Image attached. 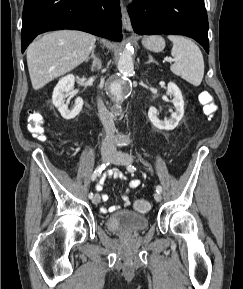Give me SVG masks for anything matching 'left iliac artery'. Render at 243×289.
Segmentation results:
<instances>
[{"label":"left iliac artery","instance_id":"1","mask_svg":"<svg viewBox=\"0 0 243 289\" xmlns=\"http://www.w3.org/2000/svg\"><path fill=\"white\" fill-rule=\"evenodd\" d=\"M127 168L131 172L136 170V168L133 165H129ZM156 191L158 193H161L162 192V187L160 185L156 186Z\"/></svg>","mask_w":243,"mask_h":289}]
</instances>
